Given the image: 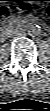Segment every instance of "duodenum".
<instances>
[{
    "mask_svg": "<svg viewBox=\"0 0 50 111\" xmlns=\"http://www.w3.org/2000/svg\"><path fill=\"white\" fill-rule=\"evenodd\" d=\"M6 35H7V31L6 30L2 31L1 37L4 38Z\"/></svg>",
    "mask_w": 50,
    "mask_h": 111,
    "instance_id": "410a0bca",
    "label": "duodenum"
}]
</instances>
